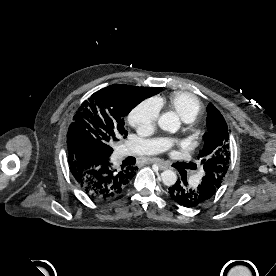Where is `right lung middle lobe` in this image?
Instances as JSON below:
<instances>
[{
	"instance_id": "obj_1",
	"label": "right lung middle lobe",
	"mask_w": 276,
	"mask_h": 276,
	"mask_svg": "<svg viewBox=\"0 0 276 276\" xmlns=\"http://www.w3.org/2000/svg\"><path fill=\"white\" fill-rule=\"evenodd\" d=\"M162 91L159 87L112 85L92 94L78 108L67 133L68 149L93 148L103 157L113 152V142L128 132L124 117L142 100Z\"/></svg>"
}]
</instances>
